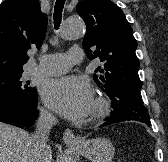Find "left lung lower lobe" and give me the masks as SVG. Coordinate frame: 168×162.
<instances>
[{
	"mask_svg": "<svg viewBox=\"0 0 168 162\" xmlns=\"http://www.w3.org/2000/svg\"><path fill=\"white\" fill-rule=\"evenodd\" d=\"M112 103V112L110 118H107L101 126L121 121H139L151 125L150 117L145 107L140 92L125 91L109 96Z\"/></svg>",
	"mask_w": 168,
	"mask_h": 162,
	"instance_id": "1",
	"label": "left lung lower lobe"
}]
</instances>
